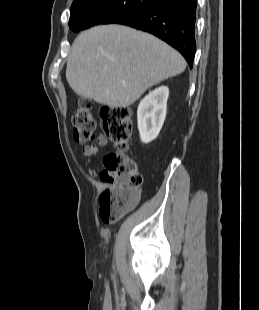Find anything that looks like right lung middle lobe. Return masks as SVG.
<instances>
[{"instance_id": "dd1d6c3e", "label": "right lung middle lobe", "mask_w": 259, "mask_h": 310, "mask_svg": "<svg viewBox=\"0 0 259 310\" xmlns=\"http://www.w3.org/2000/svg\"><path fill=\"white\" fill-rule=\"evenodd\" d=\"M155 0H101L71 10L69 26L77 32L98 24H110L137 12Z\"/></svg>"}]
</instances>
